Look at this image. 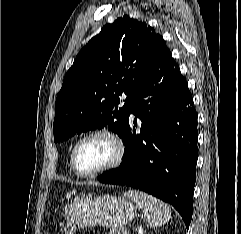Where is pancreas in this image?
<instances>
[{
	"mask_svg": "<svg viewBox=\"0 0 241 234\" xmlns=\"http://www.w3.org/2000/svg\"><path fill=\"white\" fill-rule=\"evenodd\" d=\"M105 234H125V233H124V230L120 228V229H112L111 231Z\"/></svg>",
	"mask_w": 241,
	"mask_h": 234,
	"instance_id": "obj_1",
	"label": "pancreas"
}]
</instances>
